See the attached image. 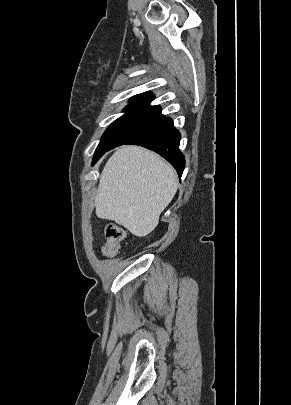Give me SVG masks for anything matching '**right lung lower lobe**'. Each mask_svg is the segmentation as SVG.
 Listing matches in <instances>:
<instances>
[{"instance_id": "right-lung-lower-lobe-1", "label": "right lung lower lobe", "mask_w": 291, "mask_h": 405, "mask_svg": "<svg viewBox=\"0 0 291 405\" xmlns=\"http://www.w3.org/2000/svg\"><path fill=\"white\" fill-rule=\"evenodd\" d=\"M180 138L181 135L173 127L171 118L164 117L161 121L124 144L139 145L155 151L171 163L179 177H181L185 168V158L179 150Z\"/></svg>"}]
</instances>
